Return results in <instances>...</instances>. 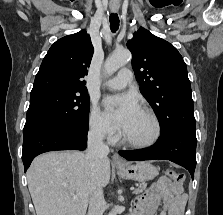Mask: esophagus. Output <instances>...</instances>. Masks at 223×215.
<instances>
[{
    "mask_svg": "<svg viewBox=\"0 0 223 215\" xmlns=\"http://www.w3.org/2000/svg\"><path fill=\"white\" fill-rule=\"evenodd\" d=\"M117 8L116 9H112L113 13L117 12ZM112 162L114 163V165H116V167H123L126 165V162L123 158L120 157V155H118V153H114L112 156Z\"/></svg>",
    "mask_w": 223,
    "mask_h": 215,
    "instance_id": "1",
    "label": "esophagus"
}]
</instances>
